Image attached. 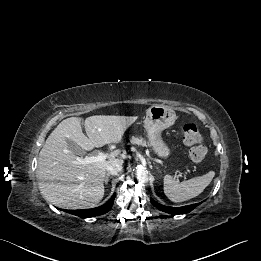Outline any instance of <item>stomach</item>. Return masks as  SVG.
I'll list each match as a JSON object with an SVG mask.
<instances>
[{
	"mask_svg": "<svg viewBox=\"0 0 261 261\" xmlns=\"http://www.w3.org/2000/svg\"><path fill=\"white\" fill-rule=\"evenodd\" d=\"M175 120V111L164 105H153L146 111L144 128L147 132L149 145L159 157L167 158L170 155V149L162 140L161 133L173 125Z\"/></svg>",
	"mask_w": 261,
	"mask_h": 261,
	"instance_id": "obj_1",
	"label": "stomach"
}]
</instances>
